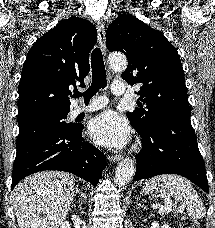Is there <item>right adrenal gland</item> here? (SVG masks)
<instances>
[{"instance_id":"obj_1","label":"right adrenal gland","mask_w":215,"mask_h":228,"mask_svg":"<svg viewBox=\"0 0 215 228\" xmlns=\"http://www.w3.org/2000/svg\"><path fill=\"white\" fill-rule=\"evenodd\" d=\"M76 196H80L81 200H85V204H87V196L84 192H82L79 186H76Z\"/></svg>"}]
</instances>
